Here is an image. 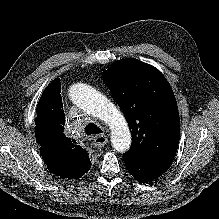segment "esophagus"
<instances>
[{
  "label": "esophagus",
  "instance_id": "esophagus-1",
  "mask_svg": "<svg viewBox=\"0 0 219 219\" xmlns=\"http://www.w3.org/2000/svg\"><path fill=\"white\" fill-rule=\"evenodd\" d=\"M107 142H108L107 135H98L94 137L92 145L94 148H101L104 145H106Z\"/></svg>",
  "mask_w": 219,
  "mask_h": 219
}]
</instances>
